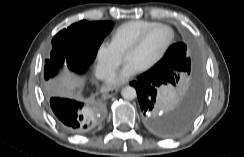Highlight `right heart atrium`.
<instances>
[{
  "instance_id": "1",
  "label": "right heart atrium",
  "mask_w": 244,
  "mask_h": 157,
  "mask_svg": "<svg viewBox=\"0 0 244 157\" xmlns=\"http://www.w3.org/2000/svg\"><path fill=\"white\" fill-rule=\"evenodd\" d=\"M122 62V54L115 48L112 42L103 41L100 43L95 61L96 75L106 80L114 74Z\"/></svg>"
}]
</instances>
